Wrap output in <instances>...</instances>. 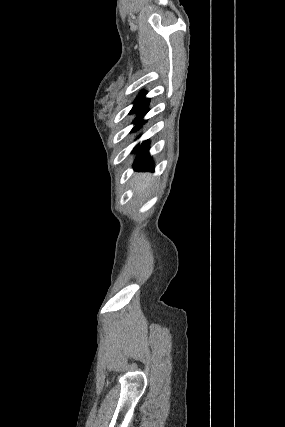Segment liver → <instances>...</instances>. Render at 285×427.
Wrapping results in <instances>:
<instances>
[{"instance_id":"6515ba94","label":"liver","mask_w":285,"mask_h":427,"mask_svg":"<svg viewBox=\"0 0 285 427\" xmlns=\"http://www.w3.org/2000/svg\"><path fill=\"white\" fill-rule=\"evenodd\" d=\"M151 181L146 175H139L136 177V185L138 187V192L144 193L148 189Z\"/></svg>"}]
</instances>
